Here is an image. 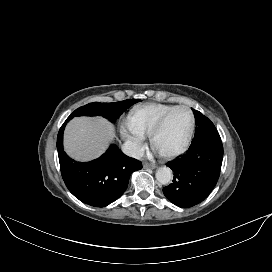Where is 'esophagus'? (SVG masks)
I'll use <instances>...</instances> for the list:
<instances>
[{"instance_id": "34e87169", "label": "esophagus", "mask_w": 272, "mask_h": 272, "mask_svg": "<svg viewBox=\"0 0 272 272\" xmlns=\"http://www.w3.org/2000/svg\"><path fill=\"white\" fill-rule=\"evenodd\" d=\"M143 167L145 168V169H155L157 166L155 165V164H149V163H144L143 164Z\"/></svg>"}]
</instances>
